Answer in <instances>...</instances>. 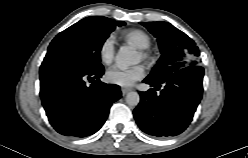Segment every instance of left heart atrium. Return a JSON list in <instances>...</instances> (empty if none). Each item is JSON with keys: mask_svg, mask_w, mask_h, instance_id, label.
<instances>
[{"mask_svg": "<svg viewBox=\"0 0 248 158\" xmlns=\"http://www.w3.org/2000/svg\"><path fill=\"white\" fill-rule=\"evenodd\" d=\"M144 74L145 69L141 64L126 68L115 66L106 72L105 78L110 84L127 87L142 79Z\"/></svg>", "mask_w": 248, "mask_h": 158, "instance_id": "1", "label": "left heart atrium"}]
</instances>
